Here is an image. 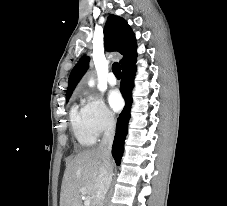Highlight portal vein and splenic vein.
<instances>
[{"label":"portal vein and splenic vein","instance_id":"1","mask_svg":"<svg viewBox=\"0 0 227 206\" xmlns=\"http://www.w3.org/2000/svg\"><path fill=\"white\" fill-rule=\"evenodd\" d=\"M81 192L82 193H86V189L85 188H82L81 189ZM90 203H91V198L90 197H86L85 200H84V205L85 206H90Z\"/></svg>","mask_w":227,"mask_h":206}]
</instances>
